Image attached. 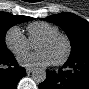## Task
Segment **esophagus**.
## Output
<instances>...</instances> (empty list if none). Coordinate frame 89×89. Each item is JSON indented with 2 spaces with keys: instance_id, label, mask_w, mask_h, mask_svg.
Wrapping results in <instances>:
<instances>
[{
  "instance_id": "34e87169",
  "label": "esophagus",
  "mask_w": 89,
  "mask_h": 89,
  "mask_svg": "<svg viewBox=\"0 0 89 89\" xmlns=\"http://www.w3.org/2000/svg\"><path fill=\"white\" fill-rule=\"evenodd\" d=\"M34 71V68H26V72L28 73V74H30V73H32Z\"/></svg>"
}]
</instances>
